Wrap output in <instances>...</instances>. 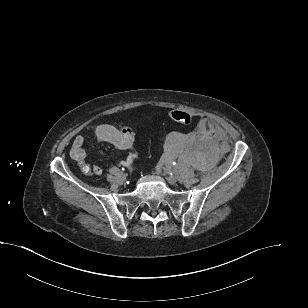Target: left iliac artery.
<instances>
[{
  "label": "left iliac artery",
  "instance_id": "left-iliac-artery-1",
  "mask_svg": "<svg viewBox=\"0 0 308 308\" xmlns=\"http://www.w3.org/2000/svg\"><path fill=\"white\" fill-rule=\"evenodd\" d=\"M172 164H173V166H175V165H176V162H173ZM170 175H172V173H170Z\"/></svg>",
  "mask_w": 308,
  "mask_h": 308
}]
</instances>
